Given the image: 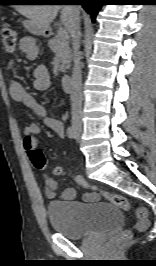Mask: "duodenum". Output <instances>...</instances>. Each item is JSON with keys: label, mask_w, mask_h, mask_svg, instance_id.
<instances>
[{"label": "duodenum", "mask_w": 156, "mask_h": 266, "mask_svg": "<svg viewBox=\"0 0 156 266\" xmlns=\"http://www.w3.org/2000/svg\"><path fill=\"white\" fill-rule=\"evenodd\" d=\"M61 83L66 91H70L72 87V77L69 74H65L61 78Z\"/></svg>", "instance_id": "obj_1"}]
</instances>
